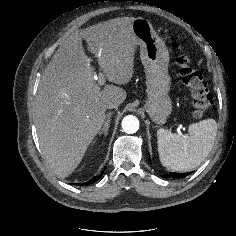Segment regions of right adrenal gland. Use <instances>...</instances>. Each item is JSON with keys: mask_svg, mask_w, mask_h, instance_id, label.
Here are the masks:
<instances>
[{"mask_svg": "<svg viewBox=\"0 0 236 236\" xmlns=\"http://www.w3.org/2000/svg\"><path fill=\"white\" fill-rule=\"evenodd\" d=\"M111 115H112V113L107 114V120H106L103 128L99 131V136H101L102 134H104V136H106L108 134V129L110 126V121H111Z\"/></svg>", "mask_w": 236, "mask_h": 236, "instance_id": "1", "label": "right adrenal gland"}]
</instances>
